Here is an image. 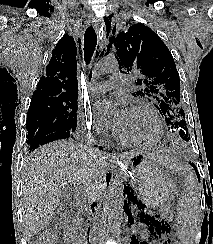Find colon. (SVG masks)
I'll use <instances>...</instances> for the list:
<instances>
[{
	"mask_svg": "<svg viewBox=\"0 0 213 244\" xmlns=\"http://www.w3.org/2000/svg\"><path fill=\"white\" fill-rule=\"evenodd\" d=\"M176 112V111H175ZM37 244H54V238L52 235L50 234H47L45 235L41 240L40 242H38ZM137 244H145L143 242H139Z\"/></svg>",
	"mask_w": 213,
	"mask_h": 244,
	"instance_id": "5ec220e1",
	"label": "colon"
}]
</instances>
